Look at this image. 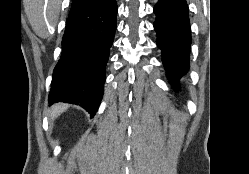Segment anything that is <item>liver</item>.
Masks as SVG:
<instances>
[{
    "label": "liver",
    "instance_id": "obj_1",
    "mask_svg": "<svg viewBox=\"0 0 249 174\" xmlns=\"http://www.w3.org/2000/svg\"><path fill=\"white\" fill-rule=\"evenodd\" d=\"M67 108H68L67 105H63V104H57V105H55L54 107H52L51 112H50L51 118L55 119L61 113H63Z\"/></svg>",
    "mask_w": 249,
    "mask_h": 174
}]
</instances>
